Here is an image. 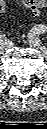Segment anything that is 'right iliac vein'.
I'll use <instances>...</instances> for the list:
<instances>
[{
  "label": "right iliac vein",
  "instance_id": "obj_1",
  "mask_svg": "<svg viewBox=\"0 0 47 129\" xmlns=\"http://www.w3.org/2000/svg\"><path fill=\"white\" fill-rule=\"evenodd\" d=\"M8 48H9L8 43L4 42V43H1V44H0V50H1L2 52H3V51H6Z\"/></svg>",
  "mask_w": 47,
  "mask_h": 129
}]
</instances>
